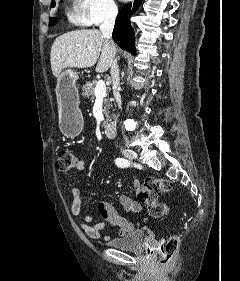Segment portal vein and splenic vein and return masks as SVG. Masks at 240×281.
Masks as SVG:
<instances>
[{"mask_svg":"<svg viewBox=\"0 0 240 281\" xmlns=\"http://www.w3.org/2000/svg\"><path fill=\"white\" fill-rule=\"evenodd\" d=\"M94 95L96 98H104L106 96V85L103 80L97 82Z\"/></svg>","mask_w":240,"mask_h":281,"instance_id":"18ae733b","label":"portal vein and splenic vein"}]
</instances>
